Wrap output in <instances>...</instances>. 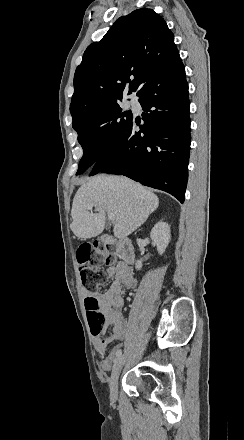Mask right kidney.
<instances>
[{"label": "right kidney", "instance_id": "obj_1", "mask_svg": "<svg viewBox=\"0 0 244 440\" xmlns=\"http://www.w3.org/2000/svg\"><path fill=\"white\" fill-rule=\"evenodd\" d=\"M150 238L155 242L158 254H164L170 242V228L166 222H157L150 232ZM137 270L142 268V262H136Z\"/></svg>", "mask_w": 244, "mask_h": 440}]
</instances>
